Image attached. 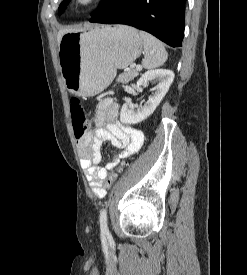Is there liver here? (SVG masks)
I'll list each match as a JSON object with an SVG mask.
<instances>
[{
    "label": "liver",
    "mask_w": 247,
    "mask_h": 275,
    "mask_svg": "<svg viewBox=\"0 0 247 275\" xmlns=\"http://www.w3.org/2000/svg\"><path fill=\"white\" fill-rule=\"evenodd\" d=\"M68 32H72L71 30H60L58 32V35H57V42H58V45L60 43V40H61V37L65 34V33H68Z\"/></svg>",
    "instance_id": "1"
}]
</instances>
